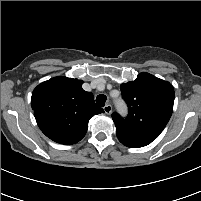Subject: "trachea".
Returning <instances> with one entry per match:
<instances>
[{
    "label": "trachea",
    "mask_w": 201,
    "mask_h": 201,
    "mask_svg": "<svg viewBox=\"0 0 201 201\" xmlns=\"http://www.w3.org/2000/svg\"><path fill=\"white\" fill-rule=\"evenodd\" d=\"M107 97L105 95H98L96 97V103L98 106L103 107L105 106V102H106Z\"/></svg>",
    "instance_id": "obj_1"
}]
</instances>
